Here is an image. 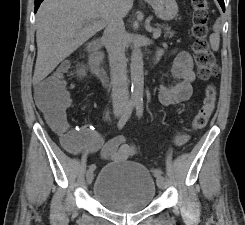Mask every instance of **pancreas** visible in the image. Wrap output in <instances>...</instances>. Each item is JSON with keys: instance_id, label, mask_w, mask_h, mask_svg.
Returning <instances> with one entry per match:
<instances>
[{"instance_id": "1", "label": "pancreas", "mask_w": 245, "mask_h": 225, "mask_svg": "<svg viewBox=\"0 0 245 225\" xmlns=\"http://www.w3.org/2000/svg\"><path fill=\"white\" fill-rule=\"evenodd\" d=\"M158 28H163V29H164V31H165L164 36H165V37L171 38V37H173L174 34H175V32H174V31H171L170 27H168V26H161V25H158Z\"/></svg>"}]
</instances>
